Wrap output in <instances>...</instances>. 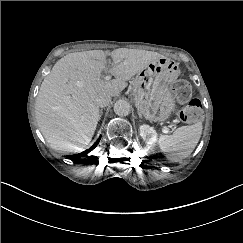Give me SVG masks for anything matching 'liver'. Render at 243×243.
I'll use <instances>...</instances> for the list:
<instances>
[{
    "mask_svg": "<svg viewBox=\"0 0 243 243\" xmlns=\"http://www.w3.org/2000/svg\"><path fill=\"white\" fill-rule=\"evenodd\" d=\"M115 80L102 77L106 54L103 50L65 55L44 78L35 104L38 127L54 150L80 152L87 147L100 119L95 103L98 93L115 96L126 82L150 62L164 57L146 50L119 48L110 52Z\"/></svg>",
    "mask_w": 243,
    "mask_h": 243,
    "instance_id": "liver-1",
    "label": "liver"
}]
</instances>
